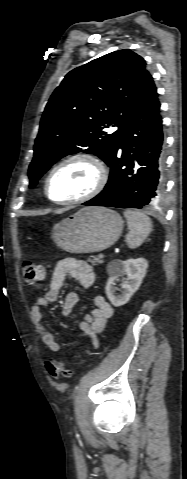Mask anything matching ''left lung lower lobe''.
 I'll return each instance as SVG.
<instances>
[{"label":"left lung lower lobe","mask_w":187,"mask_h":479,"mask_svg":"<svg viewBox=\"0 0 187 479\" xmlns=\"http://www.w3.org/2000/svg\"><path fill=\"white\" fill-rule=\"evenodd\" d=\"M108 166L111 172L104 190L83 205L142 208L161 199L164 135L160 102L150 74L126 118Z\"/></svg>","instance_id":"1"}]
</instances>
